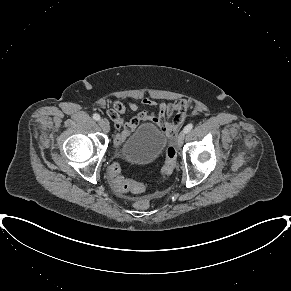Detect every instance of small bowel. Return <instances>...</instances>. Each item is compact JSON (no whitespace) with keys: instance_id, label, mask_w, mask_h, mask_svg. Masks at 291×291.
<instances>
[{"instance_id":"obj_1","label":"small bowel","mask_w":291,"mask_h":291,"mask_svg":"<svg viewBox=\"0 0 291 291\" xmlns=\"http://www.w3.org/2000/svg\"><path fill=\"white\" fill-rule=\"evenodd\" d=\"M140 103L146 108H155V112L141 109L140 106L131 102L129 109L134 112L128 120H124L126 106L119 100L114 101L107 109L108 116L114 123L117 133L113 144L119 147L130 136L133 130L142 122H151L157 126L167 137H174L184 123L191 103L186 99H178L173 103L157 102L148 97H141Z\"/></svg>"}]
</instances>
